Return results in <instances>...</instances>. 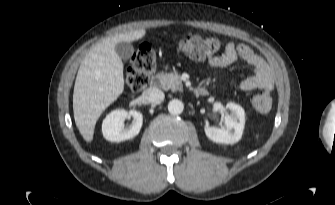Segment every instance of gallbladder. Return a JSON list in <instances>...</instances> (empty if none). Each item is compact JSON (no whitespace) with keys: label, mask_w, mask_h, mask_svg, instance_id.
Returning a JSON list of instances; mask_svg holds the SVG:
<instances>
[{"label":"gallbladder","mask_w":335,"mask_h":205,"mask_svg":"<svg viewBox=\"0 0 335 205\" xmlns=\"http://www.w3.org/2000/svg\"><path fill=\"white\" fill-rule=\"evenodd\" d=\"M117 55L123 59L128 60L134 53V48L130 42H121L115 45Z\"/></svg>","instance_id":"1"}]
</instances>
